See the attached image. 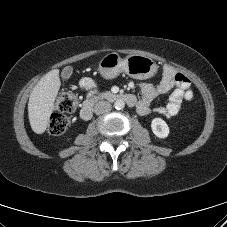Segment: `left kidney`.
Returning a JSON list of instances; mask_svg holds the SVG:
<instances>
[{
	"mask_svg": "<svg viewBox=\"0 0 227 227\" xmlns=\"http://www.w3.org/2000/svg\"><path fill=\"white\" fill-rule=\"evenodd\" d=\"M151 129L158 138H166L169 135V127L161 118H154L151 122Z\"/></svg>",
	"mask_w": 227,
	"mask_h": 227,
	"instance_id": "left-kidney-1",
	"label": "left kidney"
}]
</instances>
